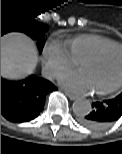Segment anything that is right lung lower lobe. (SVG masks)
Instances as JSON below:
<instances>
[{"instance_id":"obj_1","label":"right lung lower lobe","mask_w":122,"mask_h":154,"mask_svg":"<svg viewBox=\"0 0 122 154\" xmlns=\"http://www.w3.org/2000/svg\"><path fill=\"white\" fill-rule=\"evenodd\" d=\"M57 89L50 81L31 75L21 81L1 78V114L11 122H27L43 110L46 95Z\"/></svg>"}]
</instances>
